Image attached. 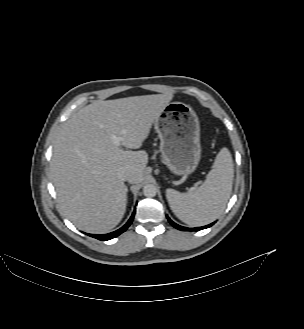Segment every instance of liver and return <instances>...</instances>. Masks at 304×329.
Instances as JSON below:
<instances>
[{"label":"liver","instance_id":"obj_1","mask_svg":"<svg viewBox=\"0 0 304 329\" xmlns=\"http://www.w3.org/2000/svg\"><path fill=\"white\" fill-rule=\"evenodd\" d=\"M172 94L93 102L73 114L53 144L51 176L60 209L88 233L109 232L122 220L127 187L143 181L148 154L140 149ZM113 137L121 138L116 144ZM122 147L132 150H124Z\"/></svg>","mask_w":304,"mask_h":329}]
</instances>
